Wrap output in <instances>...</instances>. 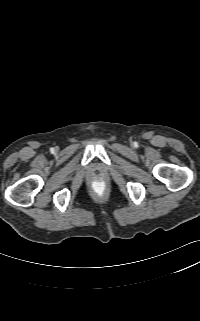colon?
<instances>
[{
    "instance_id": "colon-1",
    "label": "colon",
    "mask_w": 200,
    "mask_h": 321,
    "mask_svg": "<svg viewBox=\"0 0 200 321\" xmlns=\"http://www.w3.org/2000/svg\"><path fill=\"white\" fill-rule=\"evenodd\" d=\"M95 187H96L97 189H101V188H102L101 182H96V183H95Z\"/></svg>"
}]
</instances>
